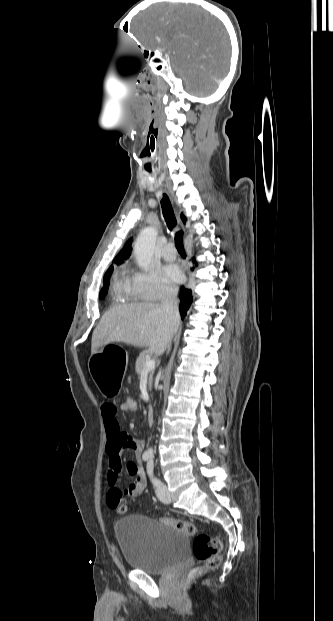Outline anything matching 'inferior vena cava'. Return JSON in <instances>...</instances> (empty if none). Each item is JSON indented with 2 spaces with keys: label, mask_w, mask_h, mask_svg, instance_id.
I'll use <instances>...</instances> for the list:
<instances>
[{
  "label": "inferior vena cava",
  "mask_w": 333,
  "mask_h": 621,
  "mask_svg": "<svg viewBox=\"0 0 333 621\" xmlns=\"http://www.w3.org/2000/svg\"><path fill=\"white\" fill-rule=\"evenodd\" d=\"M178 288H170L166 291V294L162 300V308L166 312L168 316V320L171 323L170 336L168 340V351L170 350L171 340L173 338L174 333L177 330L179 325V313H178V304L179 300L177 298Z\"/></svg>",
  "instance_id": "602c4592"
}]
</instances>
